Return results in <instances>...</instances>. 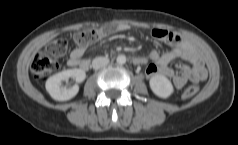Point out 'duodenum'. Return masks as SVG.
<instances>
[{
  "label": "duodenum",
  "mask_w": 238,
  "mask_h": 145,
  "mask_svg": "<svg viewBox=\"0 0 238 145\" xmlns=\"http://www.w3.org/2000/svg\"><path fill=\"white\" fill-rule=\"evenodd\" d=\"M133 63L138 65L139 64V59L137 57H134L133 58Z\"/></svg>",
  "instance_id": "obj_1"
}]
</instances>
